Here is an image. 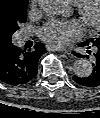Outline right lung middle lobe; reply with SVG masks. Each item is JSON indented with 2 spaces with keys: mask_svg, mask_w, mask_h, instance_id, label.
<instances>
[{
  "mask_svg": "<svg viewBox=\"0 0 100 118\" xmlns=\"http://www.w3.org/2000/svg\"><path fill=\"white\" fill-rule=\"evenodd\" d=\"M28 0H8L3 5L0 17V38L7 44L11 43L12 34L19 25L26 22Z\"/></svg>",
  "mask_w": 100,
  "mask_h": 118,
  "instance_id": "right-lung-middle-lobe-1",
  "label": "right lung middle lobe"
}]
</instances>
